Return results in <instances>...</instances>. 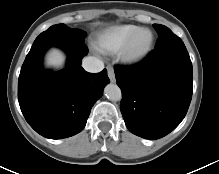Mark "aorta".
Listing matches in <instances>:
<instances>
[{
    "instance_id": "1",
    "label": "aorta",
    "mask_w": 219,
    "mask_h": 174,
    "mask_svg": "<svg viewBox=\"0 0 219 174\" xmlns=\"http://www.w3.org/2000/svg\"><path fill=\"white\" fill-rule=\"evenodd\" d=\"M104 94L111 101H120L122 98L121 89L116 84H108L104 88Z\"/></svg>"
}]
</instances>
